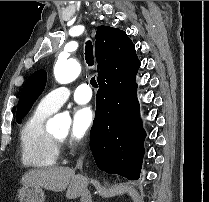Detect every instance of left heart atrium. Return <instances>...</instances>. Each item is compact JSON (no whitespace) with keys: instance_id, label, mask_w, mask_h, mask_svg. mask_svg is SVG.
Segmentation results:
<instances>
[{"instance_id":"39dd6f15","label":"left heart atrium","mask_w":209,"mask_h":202,"mask_svg":"<svg viewBox=\"0 0 209 202\" xmlns=\"http://www.w3.org/2000/svg\"><path fill=\"white\" fill-rule=\"evenodd\" d=\"M95 121V111L89 106H81L72 114L70 137L73 141H81Z\"/></svg>"}]
</instances>
